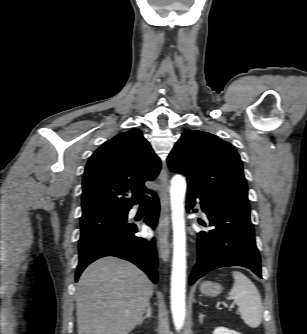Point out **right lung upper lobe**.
<instances>
[{
  "instance_id": "right-lung-upper-lobe-1",
  "label": "right lung upper lobe",
  "mask_w": 307,
  "mask_h": 334,
  "mask_svg": "<svg viewBox=\"0 0 307 334\" xmlns=\"http://www.w3.org/2000/svg\"><path fill=\"white\" fill-rule=\"evenodd\" d=\"M160 167V159L138 129L105 142L85 167L82 216L128 212L146 190L144 182L155 179ZM129 190L133 200L126 197Z\"/></svg>"
}]
</instances>
